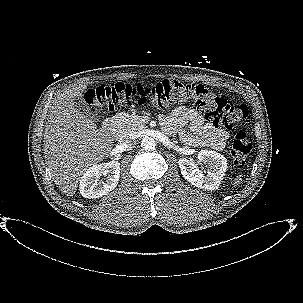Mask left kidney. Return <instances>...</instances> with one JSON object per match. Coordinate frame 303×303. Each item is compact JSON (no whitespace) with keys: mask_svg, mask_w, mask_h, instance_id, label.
<instances>
[{"mask_svg":"<svg viewBox=\"0 0 303 303\" xmlns=\"http://www.w3.org/2000/svg\"><path fill=\"white\" fill-rule=\"evenodd\" d=\"M198 162L208 164L207 175H204L197 164L189 159H179V168L183 177L192 185L205 189H218L227 169V159L212 150H201L198 153Z\"/></svg>","mask_w":303,"mask_h":303,"instance_id":"obj_1","label":"left kidney"}]
</instances>
